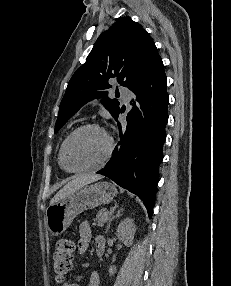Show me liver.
Masks as SVG:
<instances>
[{
    "label": "liver",
    "mask_w": 231,
    "mask_h": 286,
    "mask_svg": "<svg viewBox=\"0 0 231 286\" xmlns=\"http://www.w3.org/2000/svg\"><path fill=\"white\" fill-rule=\"evenodd\" d=\"M102 176L95 175V174H87V175H80L77 176L72 181L68 182L62 189H60L56 195L51 199L50 205L58 202L59 200L63 199L76 189L88 185L94 181L101 179Z\"/></svg>",
    "instance_id": "6515ba94"
}]
</instances>
